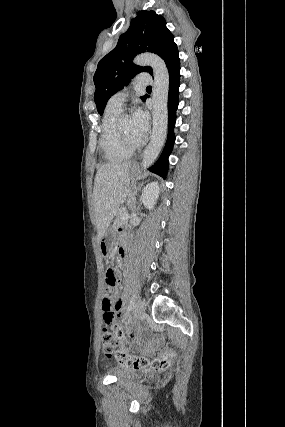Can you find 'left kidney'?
<instances>
[{
	"mask_svg": "<svg viewBox=\"0 0 285 427\" xmlns=\"http://www.w3.org/2000/svg\"><path fill=\"white\" fill-rule=\"evenodd\" d=\"M159 196V186L157 182L148 184L142 192L141 200L144 206L148 209H152L156 200Z\"/></svg>",
	"mask_w": 285,
	"mask_h": 427,
	"instance_id": "left-kidney-1",
	"label": "left kidney"
}]
</instances>
